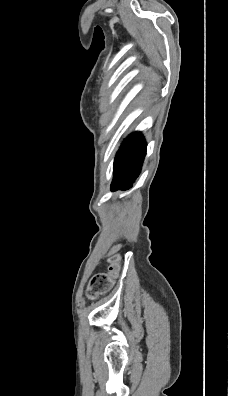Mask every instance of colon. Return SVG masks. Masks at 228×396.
Returning <instances> with one entry per match:
<instances>
[{"instance_id": "1", "label": "colon", "mask_w": 228, "mask_h": 396, "mask_svg": "<svg viewBox=\"0 0 228 396\" xmlns=\"http://www.w3.org/2000/svg\"><path fill=\"white\" fill-rule=\"evenodd\" d=\"M119 256L112 255L109 257L108 271L96 274L90 281L87 295L89 297H95L107 292L114 279L119 273Z\"/></svg>"}]
</instances>
